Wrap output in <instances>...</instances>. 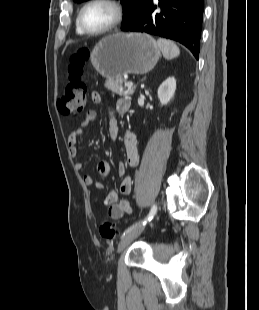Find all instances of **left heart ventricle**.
Here are the masks:
<instances>
[{"label":"left heart ventricle","mask_w":259,"mask_h":310,"mask_svg":"<svg viewBox=\"0 0 259 310\" xmlns=\"http://www.w3.org/2000/svg\"><path fill=\"white\" fill-rule=\"evenodd\" d=\"M114 18L113 9L106 4H93L83 12V23L90 30H100L106 27Z\"/></svg>","instance_id":"b2bd125f"}]
</instances>
